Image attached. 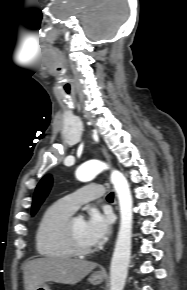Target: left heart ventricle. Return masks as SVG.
Here are the masks:
<instances>
[{"label":"left heart ventricle","mask_w":187,"mask_h":290,"mask_svg":"<svg viewBox=\"0 0 187 290\" xmlns=\"http://www.w3.org/2000/svg\"><path fill=\"white\" fill-rule=\"evenodd\" d=\"M73 227L79 242L84 246H93L86 235L85 221L82 218L75 217Z\"/></svg>","instance_id":"1"}]
</instances>
